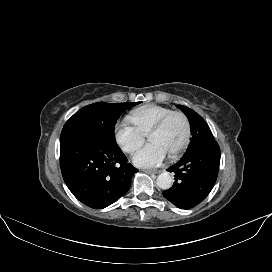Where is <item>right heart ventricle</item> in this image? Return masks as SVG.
Returning a JSON list of instances; mask_svg holds the SVG:
<instances>
[{"label":"right heart ventricle","instance_id":"e07e8e85","mask_svg":"<svg viewBox=\"0 0 272 272\" xmlns=\"http://www.w3.org/2000/svg\"><path fill=\"white\" fill-rule=\"evenodd\" d=\"M171 112L173 110L165 106L155 104L143 105L133 109L128 115V120L143 134H147L153 125Z\"/></svg>","mask_w":272,"mask_h":272}]
</instances>
